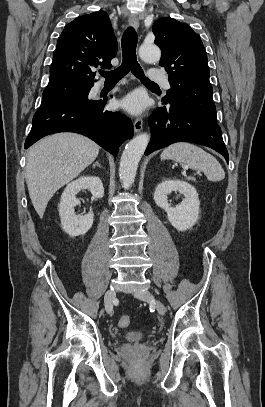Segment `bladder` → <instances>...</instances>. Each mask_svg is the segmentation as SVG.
<instances>
[{
  "mask_svg": "<svg viewBox=\"0 0 265 407\" xmlns=\"http://www.w3.org/2000/svg\"><path fill=\"white\" fill-rule=\"evenodd\" d=\"M127 339L130 341L141 340L146 337V333L144 331H134L127 334Z\"/></svg>",
  "mask_w": 265,
  "mask_h": 407,
  "instance_id": "31cf9c89",
  "label": "bladder"
}]
</instances>
